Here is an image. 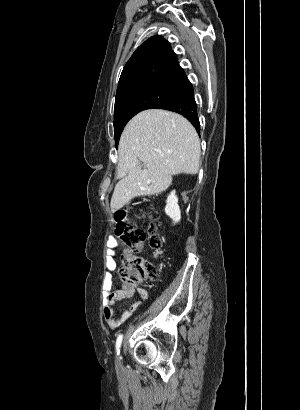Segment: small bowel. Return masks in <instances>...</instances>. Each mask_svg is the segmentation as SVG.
<instances>
[{"label":"small bowel","mask_w":300,"mask_h":410,"mask_svg":"<svg viewBox=\"0 0 300 410\" xmlns=\"http://www.w3.org/2000/svg\"><path fill=\"white\" fill-rule=\"evenodd\" d=\"M107 246L109 253L107 259V274L103 281V316L107 324L111 328H115L137 310L142 301L146 299L147 291L135 285L126 284H122L120 287L113 289L112 272L117 265L114 255L117 251L121 250V248L118 242L113 238L108 239ZM123 252L125 251L123 250ZM134 295H138V300L123 311L119 317H116L114 313L115 303L123 299L131 298Z\"/></svg>","instance_id":"1"}]
</instances>
